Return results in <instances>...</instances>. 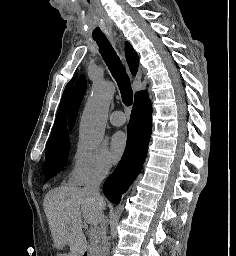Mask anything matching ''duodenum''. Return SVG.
I'll list each match as a JSON object with an SVG mask.
<instances>
[{
  "label": "duodenum",
  "instance_id": "410a0bca",
  "mask_svg": "<svg viewBox=\"0 0 236 256\" xmlns=\"http://www.w3.org/2000/svg\"><path fill=\"white\" fill-rule=\"evenodd\" d=\"M82 256H90V250L88 246L83 247Z\"/></svg>",
  "mask_w": 236,
  "mask_h": 256
}]
</instances>
